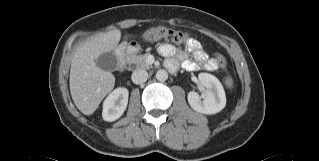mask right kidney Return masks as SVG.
Listing matches in <instances>:
<instances>
[{"label": "right kidney", "instance_id": "ca27d5eb", "mask_svg": "<svg viewBox=\"0 0 319 161\" xmlns=\"http://www.w3.org/2000/svg\"><path fill=\"white\" fill-rule=\"evenodd\" d=\"M129 92L127 88L118 87L103 102L102 117L112 122L120 118L127 108Z\"/></svg>", "mask_w": 319, "mask_h": 161}]
</instances>
